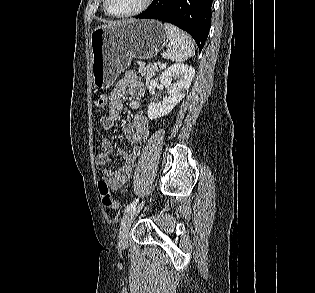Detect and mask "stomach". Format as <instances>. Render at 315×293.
<instances>
[{
    "label": "stomach",
    "instance_id": "stomach-1",
    "mask_svg": "<svg viewBox=\"0 0 315 293\" xmlns=\"http://www.w3.org/2000/svg\"><path fill=\"white\" fill-rule=\"evenodd\" d=\"M161 22L128 20L97 26L90 35L91 76L96 88L113 85L133 58L151 59L167 45Z\"/></svg>",
    "mask_w": 315,
    "mask_h": 293
}]
</instances>
